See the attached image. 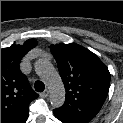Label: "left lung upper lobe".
Masks as SVG:
<instances>
[{"mask_svg":"<svg viewBox=\"0 0 123 123\" xmlns=\"http://www.w3.org/2000/svg\"><path fill=\"white\" fill-rule=\"evenodd\" d=\"M51 51L66 89L65 103L54 114L72 123H88L107 97L110 85L107 66L78 44L51 45Z\"/></svg>","mask_w":123,"mask_h":123,"instance_id":"5c2ea615","label":"left lung upper lobe"}]
</instances>
